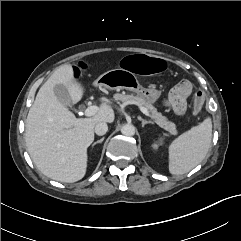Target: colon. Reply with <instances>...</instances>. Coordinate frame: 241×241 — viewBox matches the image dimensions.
I'll return each mask as SVG.
<instances>
[{
  "label": "colon",
  "instance_id": "colon-1",
  "mask_svg": "<svg viewBox=\"0 0 241 241\" xmlns=\"http://www.w3.org/2000/svg\"><path fill=\"white\" fill-rule=\"evenodd\" d=\"M121 67L126 70L140 75H158L167 74L171 70V63L167 59L141 54H126L120 60ZM73 73L72 84L86 76L90 71L89 64L77 59L72 64L67 65ZM204 105V95L201 91L194 94V111L199 113Z\"/></svg>",
  "mask_w": 241,
  "mask_h": 241
}]
</instances>
